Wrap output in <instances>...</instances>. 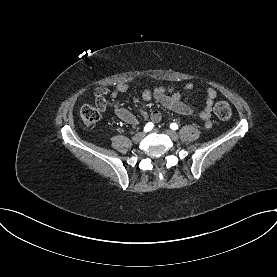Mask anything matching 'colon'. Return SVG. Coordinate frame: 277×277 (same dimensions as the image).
Masks as SVG:
<instances>
[{
  "mask_svg": "<svg viewBox=\"0 0 277 277\" xmlns=\"http://www.w3.org/2000/svg\"><path fill=\"white\" fill-rule=\"evenodd\" d=\"M170 91L171 88L168 87ZM105 106L103 104L85 105L80 111V122L84 126L94 125L102 115ZM214 112L219 119L227 120L231 116V107L226 101H219L214 107Z\"/></svg>",
  "mask_w": 277,
  "mask_h": 277,
  "instance_id": "colon-1",
  "label": "colon"
}]
</instances>
